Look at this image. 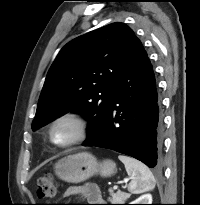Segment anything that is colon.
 Returning a JSON list of instances; mask_svg holds the SVG:
<instances>
[{
	"mask_svg": "<svg viewBox=\"0 0 200 205\" xmlns=\"http://www.w3.org/2000/svg\"><path fill=\"white\" fill-rule=\"evenodd\" d=\"M37 195L40 199L53 198L57 193V184L53 177L45 175L37 180Z\"/></svg>",
	"mask_w": 200,
	"mask_h": 205,
	"instance_id": "colon-1",
	"label": "colon"
}]
</instances>
